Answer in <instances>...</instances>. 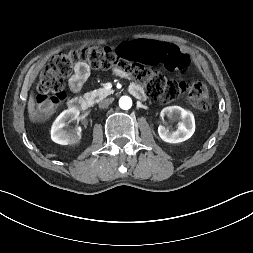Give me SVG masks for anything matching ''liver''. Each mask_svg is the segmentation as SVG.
I'll list each match as a JSON object with an SVG mask.
<instances>
[{
	"label": "liver",
	"instance_id": "liver-1",
	"mask_svg": "<svg viewBox=\"0 0 253 253\" xmlns=\"http://www.w3.org/2000/svg\"><path fill=\"white\" fill-rule=\"evenodd\" d=\"M28 113L30 118H32L35 114V101L32 94H30L28 101Z\"/></svg>",
	"mask_w": 253,
	"mask_h": 253
}]
</instances>
